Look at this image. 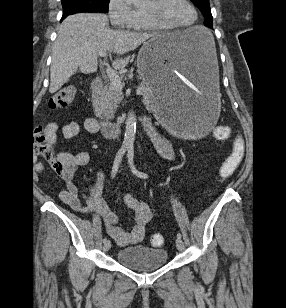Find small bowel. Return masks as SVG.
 Segmentation results:
<instances>
[{
    "label": "small bowel",
    "mask_w": 286,
    "mask_h": 308,
    "mask_svg": "<svg viewBox=\"0 0 286 308\" xmlns=\"http://www.w3.org/2000/svg\"><path fill=\"white\" fill-rule=\"evenodd\" d=\"M81 130L95 134L99 132V124L92 117L84 119L81 123L71 121L62 126L61 134L64 139H72L78 135ZM56 132L57 125L55 123H50L47 126L46 133L52 142L56 141ZM235 140L240 139L236 138ZM154 143L159 154L164 159L168 161L176 160L175 152L167 140L155 138ZM58 158L66 167L63 175L66 189L59 193L61 201L77 212L99 214L104 220L108 235L114 239L118 245L127 246L140 242L144 235L145 226L152 218L149 205L139 201L132 195H125L123 198L124 203L133 212V226L128 230L121 228L118 225V216L113 213L101 199V189L105 181V174L102 171L97 172L96 179L89 186L86 194H82L74 182V177L78 169L89 163V152H60ZM36 168L39 173L44 171V166L41 163H37Z\"/></svg>",
    "instance_id": "c3829d8e"
}]
</instances>
